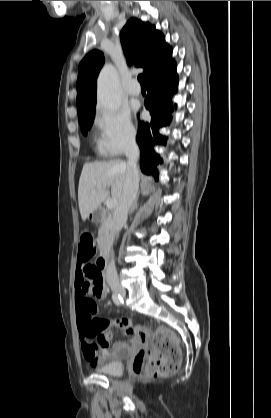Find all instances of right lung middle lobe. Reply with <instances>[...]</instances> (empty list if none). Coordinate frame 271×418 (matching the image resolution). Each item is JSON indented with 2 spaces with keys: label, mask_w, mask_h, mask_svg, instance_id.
<instances>
[{
  "label": "right lung middle lobe",
  "mask_w": 271,
  "mask_h": 418,
  "mask_svg": "<svg viewBox=\"0 0 271 418\" xmlns=\"http://www.w3.org/2000/svg\"><path fill=\"white\" fill-rule=\"evenodd\" d=\"M94 111H95V109L91 110L90 112H88L86 114L78 116L79 117V122H80V125H81V129H82V132L84 134L87 133V130H89L90 127L93 124Z\"/></svg>",
  "instance_id": "dd1d6c3e"
}]
</instances>
